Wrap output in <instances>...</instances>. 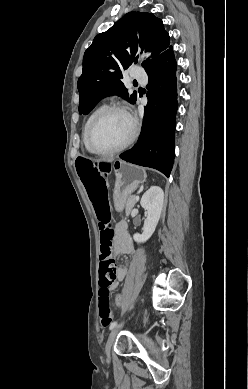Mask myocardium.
Segmentation results:
<instances>
[{
	"mask_svg": "<svg viewBox=\"0 0 248 389\" xmlns=\"http://www.w3.org/2000/svg\"><path fill=\"white\" fill-rule=\"evenodd\" d=\"M112 111L121 112L125 116L128 117V119L130 120L131 125H132L131 134H130V136L128 137V139L124 143H122L121 145H119L118 147H116L114 149H111V150H108V151H100V150L94 149L92 147V145H91V134H92V131H93L95 125L97 124V122L104 115H106L107 113L112 112ZM138 132H139L138 121L130 113V111L125 106H123V105H121L119 103H112V104H109V105H106V106L102 107L98 111V113L93 117V119L91 120V122H90V124L88 126L87 134H86V145H87L88 150L91 153H94V154L99 155V156H111V155L117 154V153L125 150L126 148H128L135 141V139L137 138Z\"/></svg>",
	"mask_w": 248,
	"mask_h": 389,
	"instance_id": "myocardium-1",
	"label": "myocardium"
}]
</instances>
